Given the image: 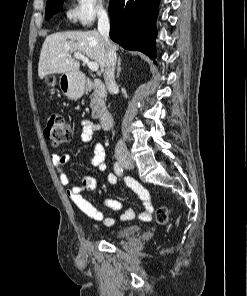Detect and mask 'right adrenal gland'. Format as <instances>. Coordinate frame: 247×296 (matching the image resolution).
<instances>
[{
  "instance_id": "right-adrenal-gland-1",
  "label": "right adrenal gland",
  "mask_w": 247,
  "mask_h": 296,
  "mask_svg": "<svg viewBox=\"0 0 247 296\" xmlns=\"http://www.w3.org/2000/svg\"><path fill=\"white\" fill-rule=\"evenodd\" d=\"M122 68H121V57H118V64H117V74H116V78H119L120 72H121Z\"/></svg>"
}]
</instances>
